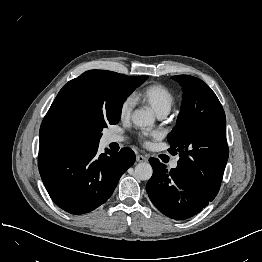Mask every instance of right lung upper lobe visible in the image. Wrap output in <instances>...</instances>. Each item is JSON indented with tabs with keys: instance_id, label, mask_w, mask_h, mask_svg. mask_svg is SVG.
I'll use <instances>...</instances> for the list:
<instances>
[{
	"instance_id": "obj_1",
	"label": "right lung upper lobe",
	"mask_w": 262,
	"mask_h": 262,
	"mask_svg": "<svg viewBox=\"0 0 262 262\" xmlns=\"http://www.w3.org/2000/svg\"><path fill=\"white\" fill-rule=\"evenodd\" d=\"M121 74L89 70L69 81L58 93L40 127V144L75 143L73 127L82 103L91 99L104 108L113 103Z\"/></svg>"
}]
</instances>
